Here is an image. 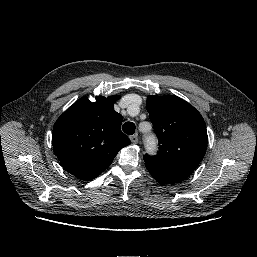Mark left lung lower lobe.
Masks as SVG:
<instances>
[{
    "label": "left lung lower lobe",
    "mask_w": 257,
    "mask_h": 257,
    "mask_svg": "<svg viewBox=\"0 0 257 257\" xmlns=\"http://www.w3.org/2000/svg\"><path fill=\"white\" fill-rule=\"evenodd\" d=\"M152 177L160 184H173L184 180L183 177L177 175H171L155 170L151 167H146Z\"/></svg>",
    "instance_id": "left-lung-lower-lobe-1"
}]
</instances>
